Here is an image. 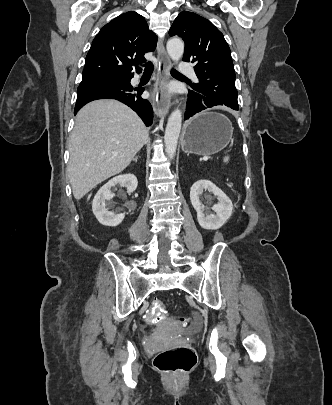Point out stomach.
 Segmentation results:
<instances>
[{
    "label": "stomach",
    "instance_id": "0dacf381",
    "mask_svg": "<svg viewBox=\"0 0 332 405\" xmlns=\"http://www.w3.org/2000/svg\"><path fill=\"white\" fill-rule=\"evenodd\" d=\"M232 134V124L224 115L206 110L187 122L182 148L187 154L210 156L223 150Z\"/></svg>",
    "mask_w": 332,
    "mask_h": 405
}]
</instances>
